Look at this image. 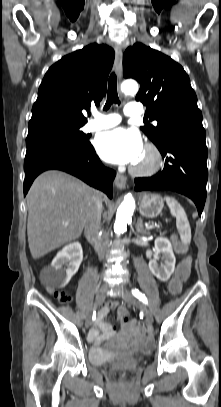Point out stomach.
I'll return each mask as SVG.
<instances>
[{
  "label": "stomach",
  "mask_w": 221,
  "mask_h": 407,
  "mask_svg": "<svg viewBox=\"0 0 221 407\" xmlns=\"http://www.w3.org/2000/svg\"><path fill=\"white\" fill-rule=\"evenodd\" d=\"M164 207V200L159 194L147 193L142 196L139 211L147 218L158 216Z\"/></svg>",
  "instance_id": "stomach-1"
}]
</instances>
